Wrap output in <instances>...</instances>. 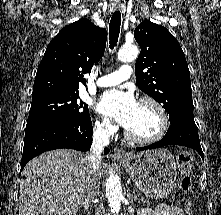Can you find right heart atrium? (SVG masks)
I'll return each mask as SVG.
<instances>
[{"instance_id": "right-heart-atrium-1", "label": "right heart atrium", "mask_w": 221, "mask_h": 215, "mask_svg": "<svg viewBox=\"0 0 221 215\" xmlns=\"http://www.w3.org/2000/svg\"><path fill=\"white\" fill-rule=\"evenodd\" d=\"M94 128L101 136H110L116 132V127L106 118H97Z\"/></svg>"}]
</instances>
